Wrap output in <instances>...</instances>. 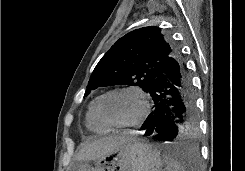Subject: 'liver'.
<instances>
[{
	"label": "liver",
	"mask_w": 245,
	"mask_h": 171,
	"mask_svg": "<svg viewBox=\"0 0 245 171\" xmlns=\"http://www.w3.org/2000/svg\"><path fill=\"white\" fill-rule=\"evenodd\" d=\"M134 137L129 133L120 135H111L96 139L83 146L76 155L78 161L96 160L101 156L108 154L125 142L133 140Z\"/></svg>",
	"instance_id": "1"
}]
</instances>
